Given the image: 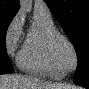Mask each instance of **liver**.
<instances>
[{
    "label": "liver",
    "mask_w": 89,
    "mask_h": 89,
    "mask_svg": "<svg viewBox=\"0 0 89 89\" xmlns=\"http://www.w3.org/2000/svg\"><path fill=\"white\" fill-rule=\"evenodd\" d=\"M59 87V85L48 84L35 77L23 75H2L0 77V89H59Z\"/></svg>",
    "instance_id": "1"
}]
</instances>
